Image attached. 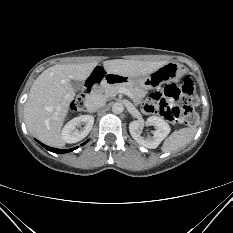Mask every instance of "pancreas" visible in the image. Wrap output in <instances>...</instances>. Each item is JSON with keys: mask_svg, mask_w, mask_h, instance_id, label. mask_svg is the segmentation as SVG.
I'll use <instances>...</instances> for the list:
<instances>
[{"mask_svg": "<svg viewBox=\"0 0 233 233\" xmlns=\"http://www.w3.org/2000/svg\"><path fill=\"white\" fill-rule=\"evenodd\" d=\"M122 89H127L132 93L134 102H137L145 94L140 88H132L125 84L105 85L102 87L104 95L107 98L116 96Z\"/></svg>", "mask_w": 233, "mask_h": 233, "instance_id": "cf45deb5", "label": "pancreas"}]
</instances>
